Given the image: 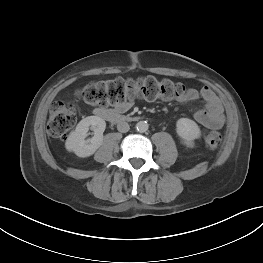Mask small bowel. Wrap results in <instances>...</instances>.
I'll return each mask as SVG.
<instances>
[{
    "instance_id": "obj_1",
    "label": "small bowel",
    "mask_w": 263,
    "mask_h": 263,
    "mask_svg": "<svg viewBox=\"0 0 263 263\" xmlns=\"http://www.w3.org/2000/svg\"><path fill=\"white\" fill-rule=\"evenodd\" d=\"M199 98L203 99L204 107L194 112L195 120L207 128L217 129L222 127L225 122L223 107L216 94L209 87L205 86L201 90L189 88L180 100L182 102H193ZM131 106L132 101L130 100L118 105L116 111L123 113Z\"/></svg>"
}]
</instances>
